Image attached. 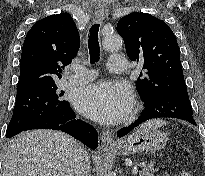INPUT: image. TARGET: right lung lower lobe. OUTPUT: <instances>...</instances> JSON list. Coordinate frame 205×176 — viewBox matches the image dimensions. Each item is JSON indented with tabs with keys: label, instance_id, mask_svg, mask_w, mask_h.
<instances>
[{
	"label": "right lung lower lobe",
	"instance_id": "98d812e1",
	"mask_svg": "<svg viewBox=\"0 0 205 176\" xmlns=\"http://www.w3.org/2000/svg\"><path fill=\"white\" fill-rule=\"evenodd\" d=\"M75 118V113L70 105H68L59 111L46 115L35 121L23 131L32 129L61 130L83 142L89 148L95 149L98 146V135L96 130L91 125Z\"/></svg>",
	"mask_w": 205,
	"mask_h": 176
}]
</instances>
